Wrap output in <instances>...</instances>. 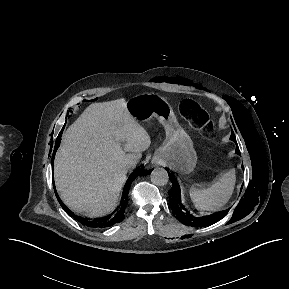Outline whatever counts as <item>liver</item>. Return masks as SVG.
Here are the masks:
<instances>
[{
    "mask_svg": "<svg viewBox=\"0 0 289 289\" xmlns=\"http://www.w3.org/2000/svg\"><path fill=\"white\" fill-rule=\"evenodd\" d=\"M150 144L124 99L91 104L63 134L55 156L61 200L88 217L107 215L117 206L128 162H138Z\"/></svg>",
    "mask_w": 289,
    "mask_h": 289,
    "instance_id": "1",
    "label": "liver"
}]
</instances>
